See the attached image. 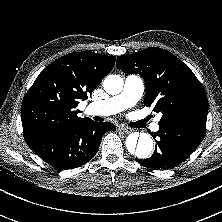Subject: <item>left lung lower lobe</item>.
Wrapping results in <instances>:
<instances>
[{"instance_id": "obj_1", "label": "left lung lower lobe", "mask_w": 222, "mask_h": 222, "mask_svg": "<svg viewBox=\"0 0 222 222\" xmlns=\"http://www.w3.org/2000/svg\"><path fill=\"white\" fill-rule=\"evenodd\" d=\"M159 130L152 134L159 137L153 155L145 160L136 159L141 165L168 170L186 160L202 142L206 126L184 121L158 123Z\"/></svg>"}]
</instances>
